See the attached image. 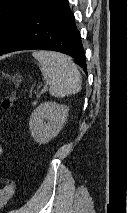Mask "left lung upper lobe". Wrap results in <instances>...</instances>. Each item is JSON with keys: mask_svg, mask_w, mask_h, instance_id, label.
I'll list each match as a JSON object with an SVG mask.
<instances>
[{"mask_svg": "<svg viewBox=\"0 0 128 213\" xmlns=\"http://www.w3.org/2000/svg\"><path fill=\"white\" fill-rule=\"evenodd\" d=\"M39 0H0V53L4 51Z\"/></svg>", "mask_w": 128, "mask_h": 213, "instance_id": "obj_1", "label": "left lung upper lobe"}]
</instances>
